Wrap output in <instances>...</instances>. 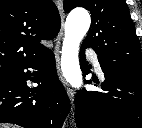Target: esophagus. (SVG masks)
I'll use <instances>...</instances> for the list:
<instances>
[{"label":"esophagus","instance_id":"1","mask_svg":"<svg viewBox=\"0 0 142 128\" xmlns=\"http://www.w3.org/2000/svg\"><path fill=\"white\" fill-rule=\"evenodd\" d=\"M57 7H58L60 18H61V28H60V31L57 35L56 42H55V48H54L56 68H57V73H58L60 82L64 86V88L67 92V95L69 96L71 105L73 106L74 91L68 86L67 82L65 81L64 77L61 74V69H60V49H61V42H62V39H63V36H64V22H65V13H64V9H63L62 0H58Z\"/></svg>","mask_w":142,"mask_h":128}]
</instances>
